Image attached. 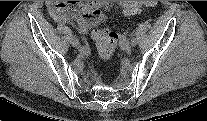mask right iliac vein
Instances as JSON below:
<instances>
[{
	"instance_id": "63e3f726",
	"label": "right iliac vein",
	"mask_w": 207,
	"mask_h": 121,
	"mask_svg": "<svg viewBox=\"0 0 207 121\" xmlns=\"http://www.w3.org/2000/svg\"><path fill=\"white\" fill-rule=\"evenodd\" d=\"M71 44H72V46H74V47H78V46H79V41H78V39H76V38H72V39H71Z\"/></svg>"
}]
</instances>
